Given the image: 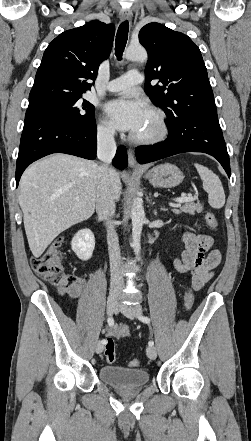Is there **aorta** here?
Segmentation results:
<instances>
[{
  "mask_svg": "<svg viewBox=\"0 0 251 441\" xmlns=\"http://www.w3.org/2000/svg\"><path fill=\"white\" fill-rule=\"evenodd\" d=\"M125 58L131 61L145 62L147 60V52L142 47H129L125 52ZM130 217L132 220V248L138 258L141 251L140 238L145 220L141 198L137 197L134 199Z\"/></svg>",
  "mask_w": 251,
  "mask_h": 441,
  "instance_id": "1",
  "label": "aorta"
}]
</instances>
